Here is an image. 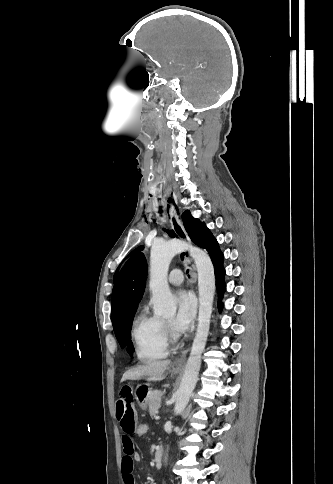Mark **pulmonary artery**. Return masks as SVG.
Wrapping results in <instances>:
<instances>
[{
    "label": "pulmonary artery",
    "mask_w": 333,
    "mask_h": 484,
    "mask_svg": "<svg viewBox=\"0 0 333 484\" xmlns=\"http://www.w3.org/2000/svg\"><path fill=\"white\" fill-rule=\"evenodd\" d=\"M168 281L172 285H180L183 282V275L181 270L173 269L168 276Z\"/></svg>",
    "instance_id": "obj_1"
}]
</instances>
